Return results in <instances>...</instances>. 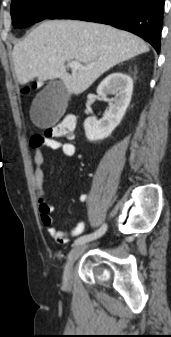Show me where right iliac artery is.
Wrapping results in <instances>:
<instances>
[{
  "mask_svg": "<svg viewBox=\"0 0 171 337\" xmlns=\"http://www.w3.org/2000/svg\"><path fill=\"white\" fill-rule=\"evenodd\" d=\"M107 230V225L104 224L102 225V227L97 230L96 232L94 233H91V234H88V235H84V236H81L79 237L78 239L75 240L74 244L73 245H79V244H84L86 242H89L91 240H94L100 236H102L105 231Z\"/></svg>",
  "mask_w": 171,
  "mask_h": 337,
  "instance_id": "obj_1",
  "label": "right iliac artery"
}]
</instances>
